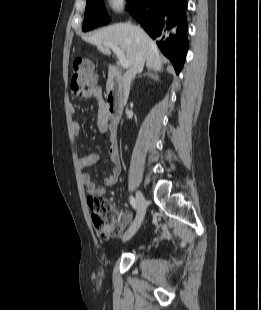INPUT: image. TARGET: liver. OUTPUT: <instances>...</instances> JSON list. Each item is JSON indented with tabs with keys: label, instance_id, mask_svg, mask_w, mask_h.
Segmentation results:
<instances>
[{
	"label": "liver",
	"instance_id": "liver-1",
	"mask_svg": "<svg viewBox=\"0 0 261 310\" xmlns=\"http://www.w3.org/2000/svg\"><path fill=\"white\" fill-rule=\"evenodd\" d=\"M84 40L96 45L98 49L107 55L111 54L110 48L104 46L105 43H112L125 52L126 59L131 67L135 62V57L142 49L145 56L147 68L155 71L162 70V59L159 55L156 43L140 27L129 23H119L103 28L92 35L85 36Z\"/></svg>",
	"mask_w": 261,
	"mask_h": 310
}]
</instances>
